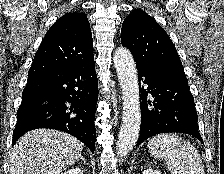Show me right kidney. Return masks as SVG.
Segmentation results:
<instances>
[{
	"label": "right kidney",
	"mask_w": 224,
	"mask_h": 174,
	"mask_svg": "<svg viewBox=\"0 0 224 174\" xmlns=\"http://www.w3.org/2000/svg\"><path fill=\"white\" fill-rule=\"evenodd\" d=\"M64 174H83V170L76 167V168L68 170L67 172H64Z\"/></svg>",
	"instance_id": "obj_1"
}]
</instances>
